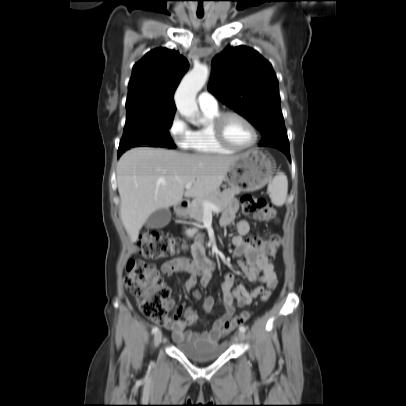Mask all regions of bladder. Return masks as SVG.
Here are the masks:
<instances>
[{"mask_svg":"<svg viewBox=\"0 0 406 406\" xmlns=\"http://www.w3.org/2000/svg\"><path fill=\"white\" fill-rule=\"evenodd\" d=\"M177 349L186 357L197 362H209L219 358L225 352V346L211 344L195 346L188 343L176 342Z\"/></svg>","mask_w":406,"mask_h":406,"instance_id":"bladder-1","label":"bladder"}]
</instances>
